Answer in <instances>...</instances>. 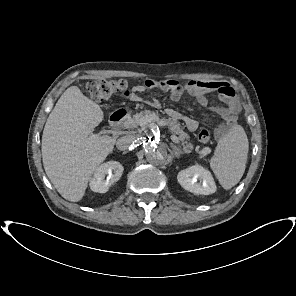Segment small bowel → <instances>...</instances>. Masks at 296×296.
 Returning a JSON list of instances; mask_svg holds the SVG:
<instances>
[{
  "label": "small bowel",
  "instance_id": "c3829d8e",
  "mask_svg": "<svg viewBox=\"0 0 296 296\" xmlns=\"http://www.w3.org/2000/svg\"><path fill=\"white\" fill-rule=\"evenodd\" d=\"M159 88L165 92H169L172 100H179L184 94L196 97L201 104L206 102V95L217 93L221 101V105L213 108V113L219 116L222 123L216 129L218 137L224 136L237 122V115L240 111V105L236 98L234 89L225 82L219 81H195L191 80L185 84H180L177 80L169 79L156 81L148 79L143 83L135 85L127 94V98L131 101H141V93L149 89ZM151 104L158 107L159 102L152 100ZM167 115L173 119L182 120L189 131H196L199 123L190 116H184L176 110L168 109Z\"/></svg>",
  "mask_w": 296,
  "mask_h": 296
}]
</instances>
